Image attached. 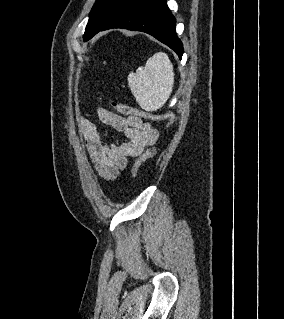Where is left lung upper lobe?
Wrapping results in <instances>:
<instances>
[{
  "label": "left lung upper lobe",
  "mask_w": 284,
  "mask_h": 319,
  "mask_svg": "<svg viewBox=\"0 0 284 319\" xmlns=\"http://www.w3.org/2000/svg\"><path fill=\"white\" fill-rule=\"evenodd\" d=\"M124 0H97L91 10L88 24L83 36L88 41L97 34L116 13Z\"/></svg>",
  "instance_id": "1"
}]
</instances>
